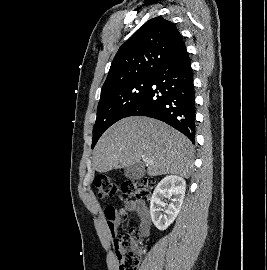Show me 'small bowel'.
<instances>
[{
    "label": "small bowel",
    "mask_w": 267,
    "mask_h": 270,
    "mask_svg": "<svg viewBox=\"0 0 267 270\" xmlns=\"http://www.w3.org/2000/svg\"><path fill=\"white\" fill-rule=\"evenodd\" d=\"M131 214H135L139 218V230L142 236H148L151 227V219L149 216L146 204L139 200L127 201L119 208H113L110 212L105 210V218L107 228L111 236H115L118 232V227L123 219H126Z\"/></svg>",
    "instance_id": "c3829d8e"
}]
</instances>
